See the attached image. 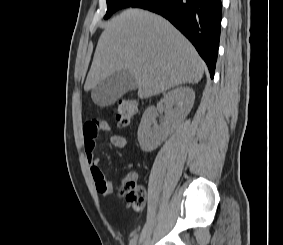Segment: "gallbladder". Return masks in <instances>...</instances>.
<instances>
[{"label": "gallbladder", "instance_id": "bac80fb5", "mask_svg": "<svg viewBox=\"0 0 283 245\" xmlns=\"http://www.w3.org/2000/svg\"><path fill=\"white\" fill-rule=\"evenodd\" d=\"M135 88L136 82L132 74L128 70H120L97 84L92 90L91 97L95 104L107 106Z\"/></svg>", "mask_w": 283, "mask_h": 245}]
</instances>
